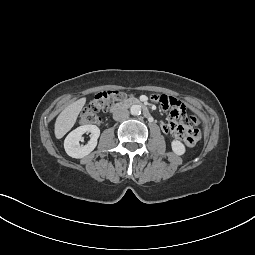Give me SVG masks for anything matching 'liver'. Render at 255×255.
<instances>
[{"instance_id":"obj_1","label":"liver","mask_w":255,"mask_h":255,"mask_svg":"<svg viewBox=\"0 0 255 255\" xmlns=\"http://www.w3.org/2000/svg\"><path fill=\"white\" fill-rule=\"evenodd\" d=\"M86 99L81 98L68 105L57 117L55 122V137L62 138L74 126L76 119L85 105Z\"/></svg>"}]
</instances>
